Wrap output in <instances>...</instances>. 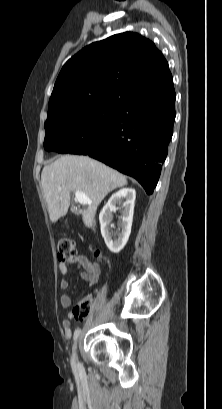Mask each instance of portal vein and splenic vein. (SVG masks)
I'll use <instances>...</instances> for the list:
<instances>
[{
	"mask_svg": "<svg viewBox=\"0 0 222 409\" xmlns=\"http://www.w3.org/2000/svg\"><path fill=\"white\" fill-rule=\"evenodd\" d=\"M75 198L81 204H92V200L85 193L81 191L75 192Z\"/></svg>",
	"mask_w": 222,
	"mask_h": 409,
	"instance_id": "18ae733b",
	"label": "portal vein and splenic vein"
}]
</instances>
